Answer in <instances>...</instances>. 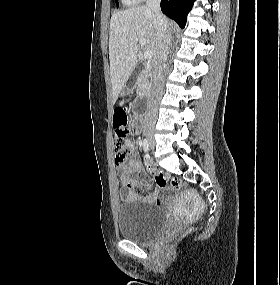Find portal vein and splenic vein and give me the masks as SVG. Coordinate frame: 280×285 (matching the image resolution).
<instances>
[{"instance_id": "18ae733b", "label": "portal vein and splenic vein", "mask_w": 280, "mask_h": 285, "mask_svg": "<svg viewBox=\"0 0 280 285\" xmlns=\"http://www.w3.org/2000/svg\"><path fill=\"white\" fill-rule=\"evenodd\" d=\"M138 43L141 46H145L146 45V40L145 39H138ZM143 56H144L145 59L150 60L153 57V52L152 51H145Z\"/></svg>"}]
</instances>
